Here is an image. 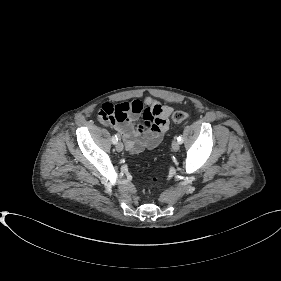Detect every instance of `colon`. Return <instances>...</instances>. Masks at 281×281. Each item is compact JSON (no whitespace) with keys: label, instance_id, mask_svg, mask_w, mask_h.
<instances>
[{"label":"colon","instance_id":"1","mask_svg":"<svg viewBox=\"0 0 281 281\" xmlns=\"http://www.w3.org/2000/svg\"><path fill=\"white\" fill-rule=\"evenodd\" d=\"M140 105L138 102L133 104L134 111H138ZM130 112V104L129 103H121L117 105L112 104H104L99 111V117L104 121L109 122H122L126 119ZM188 119V114L184 111H175L172 114V121L174 123H183ZM155 184H158V181L155 180Z\"/></svg>","mask_w":281,"mask_h":281}]
</instances>
